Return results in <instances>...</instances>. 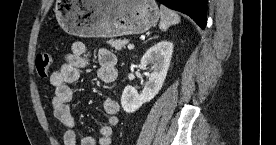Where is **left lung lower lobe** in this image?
<instances>
[{"label":"left lung lower lobe","instance_id":"1","mask_svg":"<svg viewBox=\"0 0 276 145\" xmlns=\"http://www.w3.org/2000/svg\"><path fill=\"white\" fill-rule=\"evenodd\" d=\"M167 7L190 16L201 29L207 22V0H157Z\"/></svg>","mask_w":276,"mask_h":145}]
</instances>
